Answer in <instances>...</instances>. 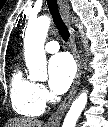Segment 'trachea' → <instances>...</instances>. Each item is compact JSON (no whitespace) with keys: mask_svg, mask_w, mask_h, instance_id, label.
<instances>
[{"mask_svg":"<svg viewBox=\"0 0 108 127\" xmlns=\"http://www.w3.org/2000/svg\"><path fill=\"white\" fill-rule=\"evenodd\" d=\"M48 8L50 10V13L52 15L53 21L61 35L64 41H68L69 39V31L62 21V18L60 16L59 10H58V4L56 0H47Z\"/></svg>","mask_w":108,"mask_h":127,"instance_id":"3493384b","label":"trachea"}]
</instances>
